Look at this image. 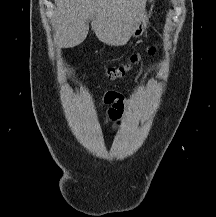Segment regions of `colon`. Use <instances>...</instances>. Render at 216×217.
Here are the masks:
<instances>
[{"label":"colon","mask_w":216,"mask_h":217,"mask_svg":"<svg viewBox=\"0 0 216 217\" xmlns=\"http://www.w3.org/2000/svg\"><path fill=\"white\" fill-rule=\"evenodd\" d=\"M157 47L150 46L145 53H135L131 56L130 61L126 64L110 67L106 70V75L111 79L124 77L131 71L144 57L153 56L156 53Z\"/></svg>","instance_id":"5ec220e1"}]
</instances>
